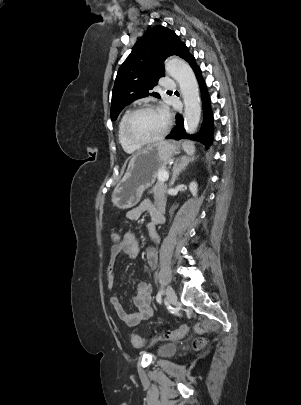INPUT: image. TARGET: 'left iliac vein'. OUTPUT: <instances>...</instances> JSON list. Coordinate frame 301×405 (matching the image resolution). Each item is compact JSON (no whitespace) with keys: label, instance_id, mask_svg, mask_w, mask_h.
I'll use <instances>...</instances> for the list:
<instances>
[{"label":"left iliac vein","instance_id":"left-iliac-vein-1","mask_svg":"<svg viewBox=\"0 0 301 405\" xmlns=\"http://www.w3.org/2000/svg\"><path fill=\"white\" fill-rule=\"evenodd\" d=\"M166 299L169 304L175 305L177 302V296L174 289L171 286H168L166 289Z\"/></svg>","mask_w":301,"mask_h":405}]
</instances>
